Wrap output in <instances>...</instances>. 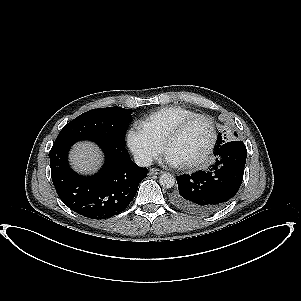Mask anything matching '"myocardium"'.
I'll return each mask as SVG.
<instances>
[{
  "label": "myocardium",
  "mask_w": 301,
  "mask_h": 301,
  "mask_svg": "<svg viewBox=\"0 0 301 301\" xmlns=\"http://www.w3.org/2000/svg\"><path fill=\"white\" fill-rule=\"evenodd\" d=\"M198 120H203L209 124L210 129H211V137H210V141H209L208 147L205 150V152L196 160L186 163L185 164L186 168H196V167L204 165L205 163L208 162V160L215 148L216 141H217V131H216V126H215L214 121L208 116L197 114L195 116H192V117L187 118L184 121L180 122L175 128H173L166 135V137L164 139V143H163L164 149H165V151H167L170 143L175 138L180 136L190 124H192L193 122L198 121Z\"/></svg>",
  "instance_id": "1"
}]
</instances>
